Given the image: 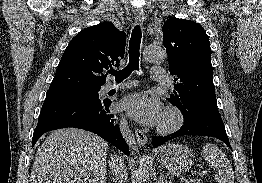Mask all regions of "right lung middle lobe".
Instances as JSON below:
<instances>
[{
	"mask_svg": "<svg viewBox=\"0 0 262 183\" xmlns=\"http://www.w3.org/2000/svg\"><path fill=\"white\" fill-rule=\"evenodd\" d=\"M100 88L78 89V90H61L47 92V96H79L86 98H98Z\"/></svg>",
	"mask_w": 262,
	"mask_h": 183,
	"instance_id": "obj_1",
	"label": "right lung middle lobe"
}]
</instances>
